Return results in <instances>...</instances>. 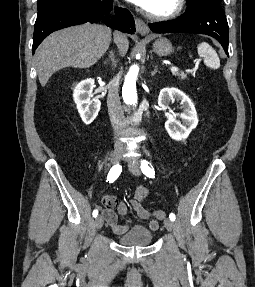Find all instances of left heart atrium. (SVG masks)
Instances as JSON below:
<instances>
[{
    "mask_svg": "<svg viewBox=\"0 0 255 287\" xmlns=\"http://www.w3.org/2000/svg\"><path fill=\"white\" fill-rule=\"evenodd\" d=\"M141 5H147L149 0H137Z\"/></svg>",
    "mask_w": 255,
    "mask_h": 287,
    "instance_id": "left-heart-atrium-1",
    "label": "left heart atrium"
}]
</instances>
